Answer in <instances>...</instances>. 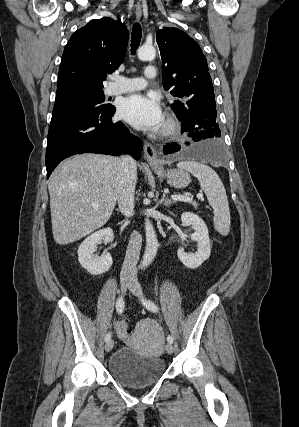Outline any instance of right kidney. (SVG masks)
I'll return each instance as SVG.
<instances>
[{"instance_id":"obj_1","label":"right kidney","mask_w":299,"mask_h":427,"mask_svg":"<svg viewBox=\"0 0 299 427\" xmlns=\"http://www.w3.org/2000/svg\"><path fill=\"white\" fill-rule=\"evenodd\" d=\"M110 243L114 239V233L111 228L99 230L88 236L78 248V260L81 266L92 275L105 273L112 266V257L110 253H103L101 256L94 254L96 244L100 240Z\"/></svg>"}]
</instances>
